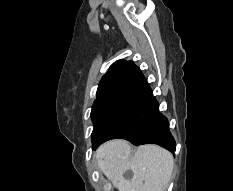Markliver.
Here are the masks:
<instances>
[{"label": "liver", "mask_w": 233, "mask_h": 191, "mask_svg": "<svg viewBox=\"0 0 233 191\" xmlns=\"http://www.w3.org/2000/svg\"><path fill=\"white\" fill-rule=\"evenodd\" d=\"M99 170L118 191H166L173 172L172 154L157 145H143L132 155L126 140H110L95 153ZM131 170V179L123 174Z\"/></svg>", "instance_id": "6515ba94"}]
</instances>
